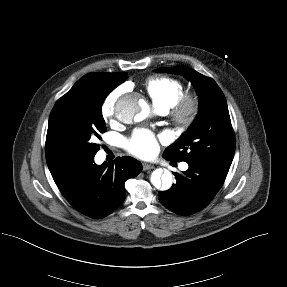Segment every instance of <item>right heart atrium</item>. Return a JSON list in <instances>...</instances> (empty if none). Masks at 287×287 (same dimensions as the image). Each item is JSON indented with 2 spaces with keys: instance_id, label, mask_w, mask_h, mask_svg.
Here are the masks:
<instances>
[{
  "instance_id": "obj_1",
  "label": "right heart atrium",
  "mask_w": 287,
  "mask_h": 287,
  "mask_svg": "<svg viewBox=\"0 0 287 287\" xmlns=\"http://www.w3.org/2000/svg\"><path fill=\"white\" fill-rule=\"evenodd\" d=\"M122 88H118L111 92L103 101L101 105V116L105 122L113 120L116 111V105L120 95L122 94Z\"/></svg>"
}]
</instances>
